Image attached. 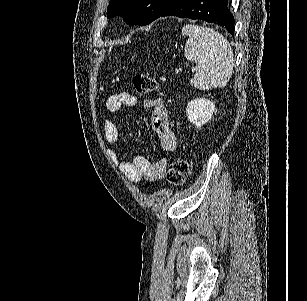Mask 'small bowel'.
Instances as JSON below:
<instances>
[{
  "instance_id": "small-bowel-1",
  "label": "small bowel",
  "mask_w": 307,
  "mask_h": 301,
  "mask_svg": "<svg viewBox=\"0 0 307 301\" xmlns=\"http://www.w3.org/2000/svg\"><path fill=\"white\" fill-rule=\"evenodd\" d=\"M138 105L151 113L152 128L158 136L162 149L168 152L174 151L177 147L176 136L170 128L168 112L160 98L146 97L138 100L132 93L124 91L110 96L105 103V108L111 113H116L123 106L136 107ZM103 132L107 143L112 145L108 150L110 157L118 164L127 179L138 182L142 178L155 181L163 177L167 165L166 159L151 162L145 156L137 155L132 161L123 160L122 151L116 147L120 137L117 125L113 121L106 120L103 123Z\"/></svg>"
}]
</instances>
